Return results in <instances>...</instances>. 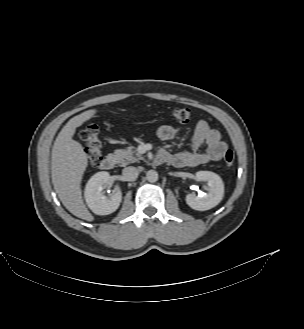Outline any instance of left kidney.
<instances>
[{"label":"left kidney","instance_id":"left-kidney-1","mask_svg":"<svg viewBox=\"0 0 304 329\" xmlns=\"http://www.w3.org/2000/svg\"><path fill=\"white\" fill-rule=\"evenodd\" d=\"M197 181H205L208 184V193L202 196L188 194L186 203L195 210L205 211L218 205L224 196V184L219 175L210 171H198L195 174Z\"/></svg>","mask_w":304,"mask_h":329}]
</instances>
